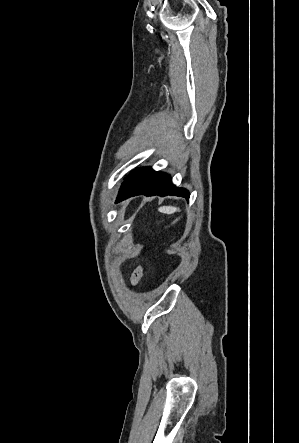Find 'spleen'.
<instances>
[{"instance_id":"spleen-1","label":"spleen","mask_w":299,"mask_h":443,"mask_svg":"<svg viewBox=\"0 0 299 443\" xmlns=\"http://www.w3.org/2000/svg\"><path fill=\"white\" fill-rule=\"evenodd\" d=\"M158 211L164 214H173L175 212H179L180 209L177 207H173V206H163L158 208Z\"/></svg>"}]
</instances>
